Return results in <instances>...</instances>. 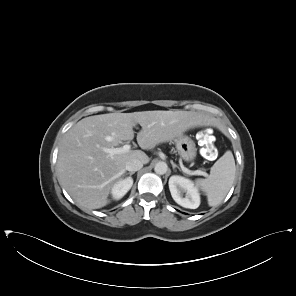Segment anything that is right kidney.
<instances>
[{
    "instance_id": "obj_1",
    "label": "right kidney",
    "mask_w": 296,
    "mask_h": 296,
    "mask_svg": "<svg viewBox=\"0 0 296 296\" xmlns=\"http://www.w3.org/2000/svg\"><path fill=\"white\" fill-rule=\"evenodd\" d=\"M132 185L133 179L131 177L121 179L118 182H116L111 189L113 199H121L131 189Z\"/></svg>"
}]
</instances>
